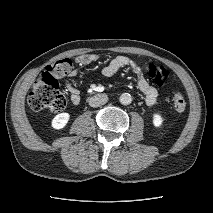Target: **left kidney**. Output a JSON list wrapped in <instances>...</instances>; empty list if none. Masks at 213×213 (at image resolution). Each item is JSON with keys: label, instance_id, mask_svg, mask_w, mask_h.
<instances>
[{"label": "left kidney", "instance_id": "obj_1", "mask_svg": "<svg viewBox=\"0 0 213 213\" xmlns=\"http://www.w3.org/2000/svg\"><path fill=\"white\" fill-rule=\"evenodd\" d=\"M163 123V118L159 114H154L153 116V124L155 127H160Z\"/></svg>", "mask_w": 213, "mask_h": 213}]
</instances>
